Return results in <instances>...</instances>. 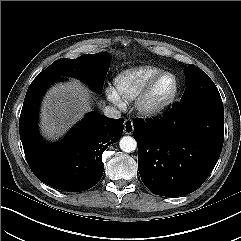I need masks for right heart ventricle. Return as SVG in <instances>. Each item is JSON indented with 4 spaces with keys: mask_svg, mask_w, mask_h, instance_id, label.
<instances>
[{
    "mask_svg": "<svg viewBox=\"0 0 241 241\" xmlns=\"http://www.w3.org/2000/svg\"><path fill=\"white\" fill-rule=\"evenodd\" d=\"M161 72H163L161 68L153 65L128 68L114 77L113 88L122 101H132Z\"/></svg>",
    "mask_w": 241,
    "mask_h": 241,
    "instance_id": "obj_1",
    "label": "right heart ventricle"
}]
</instances>
